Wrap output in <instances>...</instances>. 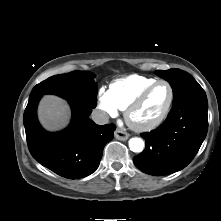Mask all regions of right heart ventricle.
<instances>
[{
    "instance_id": "1",
    "label": "right heart ventricle",
    "mask_w": 221,
    "mask_h": 221,
    "mask_svg": "<svg viewBox=\"0 0 221 221\" xmlns=\"http://www.w3.org/2000/svg\"><path fill=\"white\" fill-rule=\"evenodd\" d=\"M155 81L157 79L151 77L130 75L113 81L108 91L117 108L126 110L132 101Z\"/></svg>"
}]
</instances>
